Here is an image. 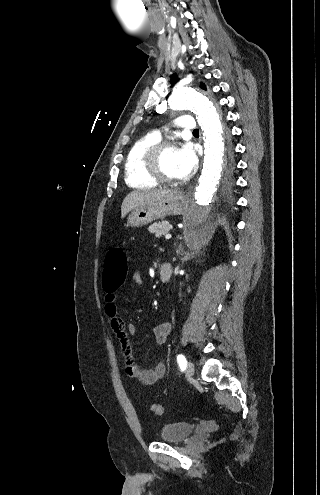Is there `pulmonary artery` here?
Here are the masks:
<instances>
[{"label":"pulmonary artery","mask_w":320,"mask_h":495,"mask_svg":"<svg viewBox=\"0 0 320 495\" xmlns=\"http://www.w3.org/2000/svg\"><path fill=\"white\" fill-rule=\"evenodd\" d=\"M175 124L182 130L184 131H191L195 130L196 124L194 119L191 116L184 115V116H179L175 119ZM153 135L160 139V131H154Z\"/></svg>","instance_id":"obj_1"}]
</instances>
